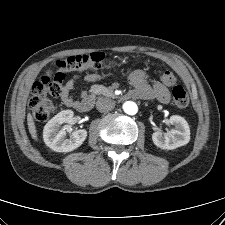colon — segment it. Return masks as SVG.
<instances>
[{
    "label": "colon",
    "mask_w": 225,
    "mask_h": 225,
    "mask_svg": "<svg viewBox=\"0 0 225 225\" xmlns=\"http://www.w3.org/2000/svg\"><path fill=\"white\" fill-rule=\"evenodd\" d=\"M109 56L102 52H93L83 55L70 56L58 62L59 70L48 71L33 86L29 107L34 117L40 121H46L55 109L54 99L61 95V83L64 80V72L83 71L88 68L100 69L110 64ZM165 84L175 83V75L171 71H164L161 76ZM172 96L175 104L181 108L189 104V97L185 88L175 85L172 88Z\"/></svg>",
    "instance_id": "colon-1"
}]
</instances>
